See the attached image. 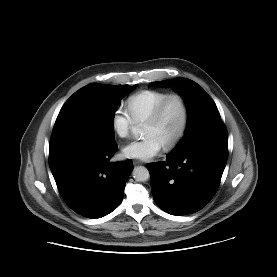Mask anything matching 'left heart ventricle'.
Returning a JSON list of instances; mask_svg holds the SVG:
<instances>
[{
    "label": "left heart ventricle",
    "instance_id": "left-heart-ventricle-1",
    "mask_svg": "<svg viewBox=\"0 0 277 277\" xmlns=\"http://www.w3.org/2000/svg\"><path fill=\"white\" fill-rule=\"evenodd\" d=\"M183 118V109L178 99H171L158 123H145L144 135L153 134L163 145L167 144L179 131Z\"/></svg>",
    "mask_w": 277,
    "mask_h": 277
}]
</instances>
